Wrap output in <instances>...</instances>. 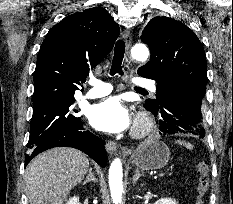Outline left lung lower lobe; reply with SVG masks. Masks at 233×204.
Returning a JSON list of instances; mask_svg holds the SVG:
<instances>
[{
    "instance_id": "obj_1",
    "label": "left lung lower lobe",
    "mask_w": 233,
    "mask_h": 204,
    "mask_svg": "<svg viewBox=\"0 0 233 204\" xmlns=\"http://www.w3.org/2000/svg\"><path fill=\"white\" fill-rule=\"evenodd\" d=\"M205 93L189 84H174L159 100L158 108L145 109L156 116L161 135L191 133L204 138L201 105Z\"/></svg>"
}]
</instances>
